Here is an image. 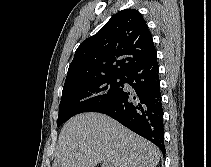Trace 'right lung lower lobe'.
Listing matches in <instances>:
<instances>
[{
	"label": "right lung lower lobe",
	"instance_id": "right-lung-lower-lobe-1",
	"mask_svg": "<svg viewBox=\"0 0 211 167\" xmlns=\"http://www.w3.org/2000/svg\"><path fill=\"white\" fill-rule=\"evenodd\" d=\"M157 56L136 65L124 75L132 90L123 91L96 112L106 114L157 145L165 154L163 108Z\"/></svg>",
	"mask_w": 211,
	"mask_h": 167
}]
</instances>
